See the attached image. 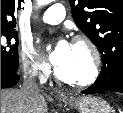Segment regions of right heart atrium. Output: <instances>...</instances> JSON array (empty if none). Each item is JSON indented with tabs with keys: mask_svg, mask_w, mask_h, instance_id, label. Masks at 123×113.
<instances>
[{
	"mask_svg": "<svg viewBox=\"0 0 123 113\" xmlns=\"http://www.w3.org/2000/svg\"><path fill=\"white\" fill-rule=\"evenodd\" d=\"M19 58L26 74L38 79H43L48 74V64L31 43H21Z\"/></svg>",
	"mask_w": 123,
	"mask_h": 113,
	"instance_id": "right-heart-atrium-1",
	"label": "right heart atrium"
}]
</instances>
